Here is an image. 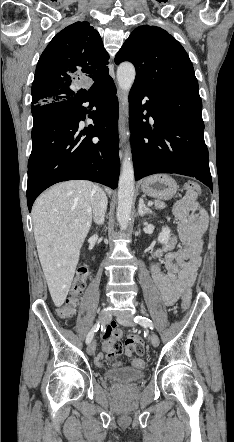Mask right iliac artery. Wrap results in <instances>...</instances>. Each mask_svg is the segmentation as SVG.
Returning <instances> with one entry per match:
<instances>
[{
	"label": "right iliac artery",
	"mask_w": 234,
	"mask_h": 442,
	"mask_svg": "<svg viewBox=\"0 0 234 442\" xmlns=\"http://www.w3.org/2000/svg\"><path fill=\"white\" fill-rule=\"evenodd\" d=\"M99 327H100V324H99V323H96V324L92 327V329L89 331V333H88V335H87V338H86V343H87V344H89V343L92 341L93 336H94V333L98 331Z\"/></svg>",
	"instance_id": "obj_1"
}]
</instances>
